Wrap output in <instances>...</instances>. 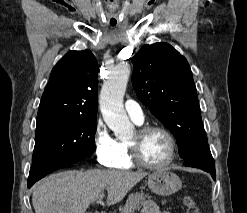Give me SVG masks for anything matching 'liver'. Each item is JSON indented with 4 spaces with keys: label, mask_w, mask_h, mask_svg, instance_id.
Masks as SVG:
<instances>
[{
    "label": "liver",
    "mask_w": 247,
    "mask_h": 213,
    "mask_svg": "<svg viewBox=\"0 0 247 213\" xmlns=\"http://www.w3.org/2000/svg\"><path fill=\"white\" fill-rule=\"evenodd\" d=\"M146 175L97 169L60 172L34 185L32 204L35 213H85L104 189L108 192L107 205H113L123 200Z\"/></svg>",
    "instance_id": "1"
}]
</instances>
